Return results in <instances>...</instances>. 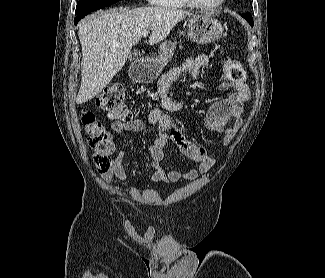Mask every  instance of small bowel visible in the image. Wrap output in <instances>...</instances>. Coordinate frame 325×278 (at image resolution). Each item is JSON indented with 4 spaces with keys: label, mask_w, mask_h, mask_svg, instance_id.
Listing matches in <instances>:
<instances>
[{
    "label": "small bowel",
    "mask_w": 325,
    "mask_h": 278,
    "mask_svg": "<svg viewBox=\"0 0 325 278\" xmlns=\"http://www.w3.org/2000/svg\"><path fill=\"white\" fill-rule=\"evenodd\" d=\"M211 68L210 58L205 54L188 57L179 67L173 68L164 75L158 84V95L161 107L168 113L180 112L184 109V100H173L168 90L171 83L186 73H190L196 83L197 89L202 90L204 84L199 79L201 68ZM223 88H231L232 93L225 99L214 102L207 110L205 124L213 133L222 134L221 147H226L234 139L237 131L242 126L243 105L250 98L249 87L244 84H235L226 81L221 84ZM148 123L157 130V138L154 145L149 147L151 166L153 173L150 180L153 182H181L194 180L199 174L207 173L214 164L213 153L209 152L203 145L189 140L178 128L173 118L161 109H152L148 114ZM111 129L115 133L132 132L139 133L146 130V124L142 120L132 119L128 122L113 121ZM172 141L177 148L189 159L198 163V167L190 168L185 172L169 169L163 165L165 148ZM126 152L120 151L112 160L110 168L102 173V179L110 182L117 178L120 181L127 179L123 166Z\"/></svg>",
    "instance_id": "obj_1"
}]
</instances>
